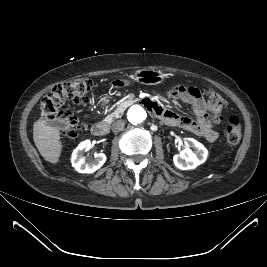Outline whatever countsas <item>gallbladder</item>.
<instances>
[{
	"label": "gallbladder",
	"mask_w": 267,
	"mask_h": 267,
	"mask_svg": "<svg viewBox=\"0 0 267 267\" xmlns=\"http://www.w3.org/2000/svg\"><path fill=\"white\" fill-rule=\"evenodd\" d=\"M52 125L58 128H67L70 126V122L67 118L63 119H54Z\"/></svg>",
	"instance_id": "gallbladder-1"
}]
</instances>
